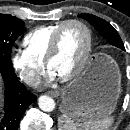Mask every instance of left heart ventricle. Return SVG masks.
<instances>
[{
  "label": "left heart ventricle",
  "instance_id": "b2bd125f",
  "mask_svg": "<svg viewBox=\"0 0 130 130\" xmlns=\"http://www.w3.org/2000/svg\"><path fill=\"white\" fill-rule=\"evenodd\" d=\"M87 45V35L78 25H69L62 32L59 50L49 70L58 78L69 75L80 63Z\"/></svg>",
  "mask_w": 130,
  "mask_h": 130
}]
</instances>
